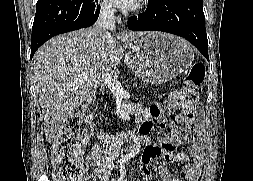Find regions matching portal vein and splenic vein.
<instances>
[{
	"label": "portal vein and splenic vein",
	"mask_w": 253,
	"mask_h": 181,
	"mask_svg": "<svg viewBox=\"0 0 253 181\" xmlns=\"http://www.w3.org/2000/svg\"><path fill=\"white\" fill-rule=\"evenodd\" d=\"M102 79L113 92H123L120 82L112 74L103 71Z\"/></svg>",
	"instance_id": "portal-vein-and-splenic-vein-1"
}]
</instances>
